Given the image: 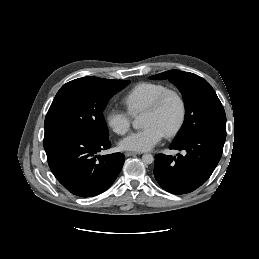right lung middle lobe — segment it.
<instances>
[{"instance_id":"dd1d6c3e","label":"right lung middle lobe","mask_w":259,"mask_h":259,"mask_svg":"<svg viewBox=\"0 0 259 259\" xmlns=\"http://www.w3.org/2000/svg\"><path fill=\"white\" fill-rule=\"evenodd\" d=\"M130 81L83 77L63 85L45 118V134L79 131L108 139L103 111L110 98Z\"/></svg>"}]
</instances>
